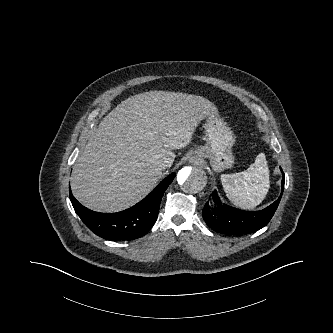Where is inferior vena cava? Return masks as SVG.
<instances>
[{
	"label": "inferior vena cava",
	"instance_id": "602c4592",
	"mask_svg": "<svg viewBox=\"0 0 333 333\" xmlns=\"http://www.w3.org/2000/svg\"><path fill=\"white\" fill-rule=\"evenodd\" d=\"M157 167L160 169V170H163V169H166L168 168V163L164 160H159L157 162Z\"/></svg>",
	"mask_w": 333,
	"mask_h": 333
}]
</instances>
